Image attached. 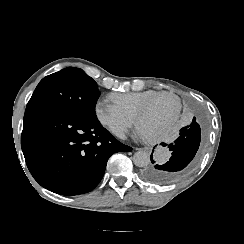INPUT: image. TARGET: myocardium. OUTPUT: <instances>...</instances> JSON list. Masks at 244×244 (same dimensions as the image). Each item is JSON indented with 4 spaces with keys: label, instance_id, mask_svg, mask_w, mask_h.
<instances>
[{
    "label": "myocardium",
    "instance_id": "myocardium-1",
    "mask_svg": "<svg viewBox=\"0 0 244 244\" xmlns=\"http://www.w3.org/2000/svg\"><path fill=\"white\" fill-rule=\"evenodd\" d=\"M131 94V93H130ZM166 96H169V97H173L177 100L178 102V106H177V109L176 111L163 123V127L162 129L160 130V132H162V130L164 129L165 126L169 125V124H172L174 122V120L176 119V117L178 116L180 110H181V107H182V101H181V98L179 95H177L176 93L174 92H162L160 95H154L153 98H151L150 100H148L147 102H145L143 105H142V108H141V112L139 113V118L141 119L140 120V123L142 125H144V121H143V118L145 116V113L147 112V108L149 107V105H151L152 103L156 102L157 100H160L162 97H166ZM156 100V101H155Z\"/></svg>",
    "mask_w": 244,
    "mask_h": 244
}]
</instances>
